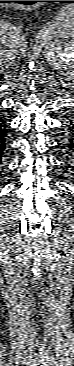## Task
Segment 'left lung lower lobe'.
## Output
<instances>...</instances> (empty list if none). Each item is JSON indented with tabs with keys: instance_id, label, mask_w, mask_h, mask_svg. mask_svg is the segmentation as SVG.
Instances as JSON below:
<instances>
[{
	"instance_id": "obj_1",
	"label": "left lung lower lobe",
	"mask_w": 74,
	"mask_h": 366,
	"mask_svg": "<svg viewBox=\"0 0 74 366\" xmlns=\"http://www.w3.org/2000/svg\"><path fill=\"white\" fill-rule=\"evenodd\" d=\"M66 130L65 143L63 144V148L67 150L66 153H74V122L71 121L70 125H67L64 129Z\"/></svg>"
}]
</instances>
